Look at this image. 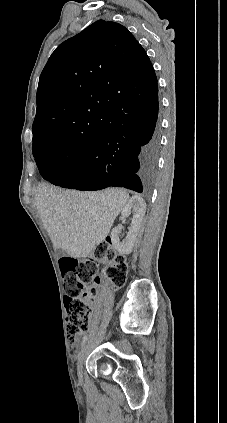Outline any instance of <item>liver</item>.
I'll return each instance as SVG.
<instances>
[{"label": "liver", "mask_w": 227, "mask_h": 423, "mask_svg": "<svg viewBox=\"0 0 227 423\" xmlns=\"http://www.w3.org/2000/svg\"><path fill=\"white\" fill-rule=\"evenodd\" d=\"M129 196L125 190L75 192L42 186L35 206L55 249L71 257H87L105 241Z\"/></svg>", "instance_id": "obj_1"}]
</instances>
